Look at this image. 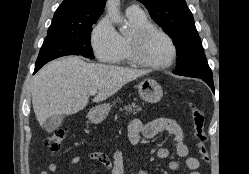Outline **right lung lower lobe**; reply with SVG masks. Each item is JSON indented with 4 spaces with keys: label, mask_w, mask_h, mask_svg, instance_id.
<instances>
[{
    "label": "right lung lower lobe",
    "mask_w": 249,
    "mask_h": 174,
    "mask_svg": "<svg viewBox=\"0 0 249 174\" xmlns=\"http://www.w3.org/2000/svg\"><path fill=\"white\" fill-rule=\"evenodd\" d=\"M42 66H35L34 73H36Z\"/></svg>",
    "instance_id": "right-lung-lower-lobe-1"
}]
</instances>
